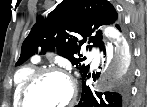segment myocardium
<instances>
[{
    "instance_id": "myocardium-1",
    "label": "myocardium",
    "mask_w": 147,
    "mask_h": 107,
    "mask_svg": "<svg viewBox=\"0 0 147 107\" xmlns=\"http://www.w3.org/2000/svg\"><path fill=\"white\" fill-rule=\"evenodd\" d=\"M47 75H59L66 79L70 85V95L69 98L65 103L58 107H68L74 103L76 96H77V86L74 79L67 74L62 68L59 67H46L36 70L30 78L27 80L26 84L24 85L21 95H20V102L23 107H31L28 103V94L31 88L43 77Z\"/></svg>"
}]
</instances>
